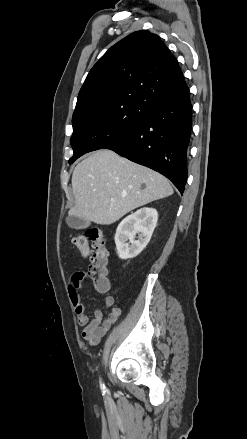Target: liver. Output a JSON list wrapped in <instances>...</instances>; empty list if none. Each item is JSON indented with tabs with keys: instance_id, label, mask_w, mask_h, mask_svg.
<instances>
[{
	"instance_id": "liver-1",
	"label": "liver",
	"mask_w": 247,
	"mask_h": 439,
	"mask_svg": "<svg viewBox=\"0 0 247 439\" xmlns=\"http://www.w3.org/2000/svg\"><path fill=\"white\" fill-rule=\"evenodd\" d=\"M72 188L75 205L70 215L101 225L173 194L163 175L107 149L94 152L75 167Z\"/></svg>"
}]
</instances>
